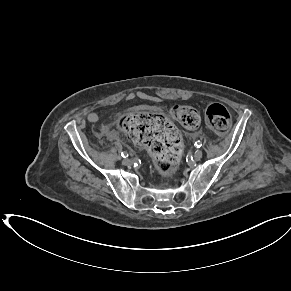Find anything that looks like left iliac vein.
<instances>
[{
    "instance_id": "obj_1",
    "label": "left iliac vein",
    "mask_w": 291,
    "mask_h": 291,
    "mask_svg": "<svg viewBox=\"0 0 291 291\" xmlns=\"http://www.w3.org/2000/svg\"><path fill=\"white\" fill-rule=\"evenodd\" d=\"M202 155H203L202 150L197 149V150L194 152V159H195V160H199V159H201Z\"/></svg>"
}]
</instances>
